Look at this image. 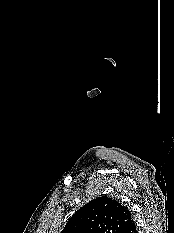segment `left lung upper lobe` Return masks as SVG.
Instances as JSON below:
<instances>
[{
  "mask_svg": "<svg viewBox=\"0 0 174 233\" xmlns=\"http://www.w3.org/2000/svg\"><path fill=\"white\" fill-rule=\"evenodd\" d=\"M132 222L124 205L101 196L77 210L61 233H122Z\"/></svg>",
  "mask_w": 174,
  "mask_h": 233,
  "instance_id": "left-lung-upper-lobe-1",
  "label": "left lung upper lobe"
}]
</instances>
